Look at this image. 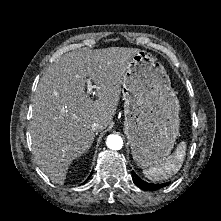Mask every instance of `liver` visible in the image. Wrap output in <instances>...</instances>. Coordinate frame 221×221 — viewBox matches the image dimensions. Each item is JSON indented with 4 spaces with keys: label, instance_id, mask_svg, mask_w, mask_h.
<instances>
[{
    "label": "liver",
    "instance_id": "liver-1",
    "mask_svg": "<svg viewBox=\"0 0 221 221\" xmlns=\"http://www.w3.org/2000/svg\"><path fill=\"white\" fill-rule=\"evenodd\" d=\"M138 48L82 49L64 54L43 74L33 97L30 135L34 159L57 184H63L70 164L94 141L91 128L103 131L120 101L127 66ZM96 86L93 101L86 79Z\"/></svg>",
    "mask_w": 221,
    "mask_h": 221
}]
</instances>
